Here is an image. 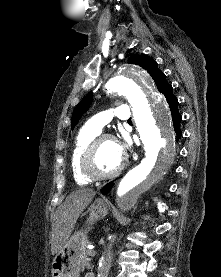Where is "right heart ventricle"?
<instances>
[{
  "label": "right heart ventricle",
  "instance_id": "e07e8e85",
  "mask_svg": "<svg viewBox=\"0 0 221 277\" xmlns=\"http://www.w3.org/2000/svg\"><path fill=\"white\" fill-rule=\"evenodd\" d=\"M98 134L99 133L84 127L75 138L71 154V170L75 182L80 185L88 184L91 181L82 174L80 161L85 149Z\"/></svg>",
  "mask_w": 221,
  "mask_h": 277
}]
</instances>
